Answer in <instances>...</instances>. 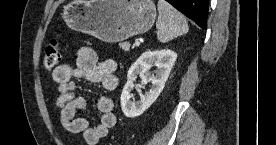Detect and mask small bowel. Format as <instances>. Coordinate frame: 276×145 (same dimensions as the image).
Wrapping results in <instances>:
<instances>
[{"mask_svg":"<svg viewBox=\"0 0 276 145\" xmlns=\"http://www.w3.org/2000/svg\"><path fill=\"white\" fill-rule=\"evenodd\" d=\"M116 63L112 59L98 61L96 52L89 47H82L77 52L76 65L62 64L52 71V79L58 86L59 95L56 104L60 109V120L70 133L82 134L88 145H97L116 123L113 112L114 102L110 96L102 95L97 100L100 112L99 122L92 124L83 117H76L78 110L87 107V100L76 94L75 79L84 78L92 83H100L105 90L117 86L114 74Z\"/></svg>","mask_w":276,"mask_h":145,"instance_id":"c3829d8e","label":"small bowel"}]
</instances>
